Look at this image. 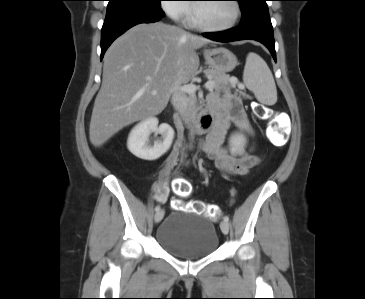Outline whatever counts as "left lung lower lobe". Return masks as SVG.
<instances>
[{
  "mask_svg": "<svg viewBox=\"0 0 365 299\" xmlns=\"http://www.w3.org/2000/svg\"><path fill=\"white\" fill-rule=\"evenodd\" d=\"M265 1L242 10V20L237 28L223 32L204 33L203 36L220 42L239 40H255L261 42L268 48L273 59L276 61L273 28L268 6Z\"/></svg>",
  "mask_w": 365,
  "mask_h": 299,
  "instance_id": "left-lung-lower-lobe-1",
  "label": "left lung lower lobe"
}]
</instances>
